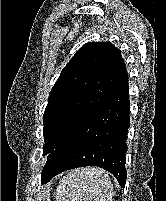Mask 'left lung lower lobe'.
Returning a JSON list of instances; mask_svg holds the SVG:
<instances>
[{"instance_id": "1", "label": "left lung lower lobe", "mask_w": 166, "mask_h": 201, "mask_svg": "<svg viewBox=\"0 0 166 201\" xmlns=\"http://www.w3.org/2000/svg\"><path fill=\"white\" fill-rule=\"evenodd\" d=\"M129 107L127 75L107 100L48 156L41 183L69 169L97 166L112 173L124 188Z\"/></svg>"}]
</instances>
